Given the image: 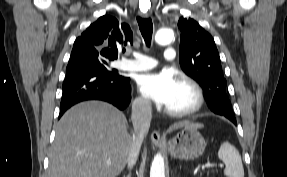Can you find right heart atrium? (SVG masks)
<instances>
[{"label":"right heart atrium","mask_w":287,"mask_h":177,"mask_svg":"<svg viewBox=\"0 0 287 177\" xmlns=\"http://www.w3.org/2000/svg\"><path fill=\"white\" fill-rule=\"evenodd\" d=\"M135 108L140 113L146 112L149 109V103L145 98L138 97L135 100Z\"/></svg>","instance_id":"d8ad5b80"}]
</instances>
